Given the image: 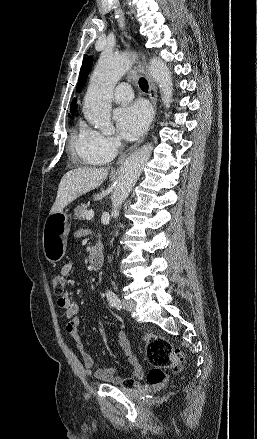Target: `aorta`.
Masks as SVG:
<instances>
[{
	"mask_svg": "<svg viewBox=\"0 0 257 439\" xmlns=\"http://www.w3.org/2000/svg\"><path fill=\"white\" fill-rule=\"evenodd\" d=\"M133 61L132 53L121 55L103 53L91 77L83 112L88 122L104 134L110 135L114 132L111 122V96L115 85L130 69ZM149 71L159 85L164 105L168 106L172 101L173 84L167 65L159 58H152L149 62ZM152 149V144L142 146L133 152L121 166L111 196L113 213H119V209L149 160Z\"/></svg>",
	"mask_w": 257,
	"mask_h": 439,
	"instance_id": "1",
	"label": "aorta"
}]
</instances>
